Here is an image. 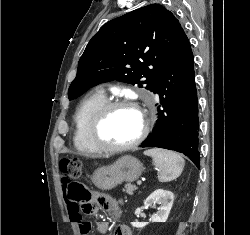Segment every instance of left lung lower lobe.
<instances>
[{"instance_id":"1","label":"left lung lower lobe","mask_w":250,"mask_h":235,"mask_svg":"<svg viewBox=\"0 0 250 235\" xmlns=\"http://www.w3.org/2000/svg\"><path fill=\"white\" fill-rule=\"evenodd\" d=\"M152 91L159 94L163 110L158 108L153 134L141 146L183 153L200 168L194 57L184 30L160 69Z\"/></svg>"}]
</instances>
